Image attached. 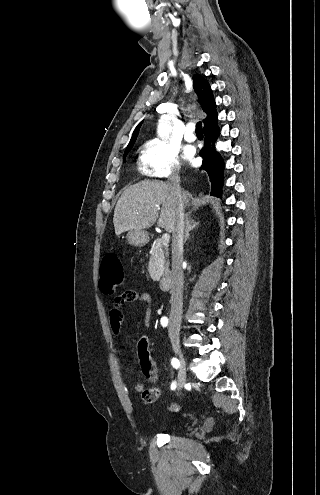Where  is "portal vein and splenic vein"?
I'll return each instance as SVG.
<instances>
[{"label": "portal vein and splenic vein", "instance_id": "18ae733b", "mask_svg": "<svg viewBox=\"0 0 320 495\" xmlns=\"http://www.w3.org/2000/svg\"><path fill=\"white\" fill-rule=\"evenodd\" d=\"M170 235L168 233L163 234L162 236V242L164 245H167L169 243Z\"/></svg>", "mask_w": 320, "mask_h": 495}]
</instances>
